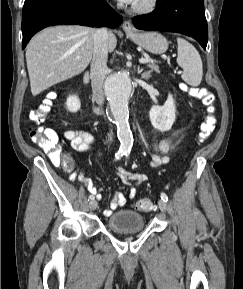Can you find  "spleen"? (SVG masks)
Here are the masks:
<instances>
[{"label": "spleen", "instance_id": "spleen-1", "mask_svg": "<svg viewBox=\"0 0 243 289\" xmlns=\"http://www.w3.org/2000/svg\"><path fill=\"white\" fill-rule=\"evenodd\" d=\"M177 63L183 69L182 79L189 85L196 87L203 76L202 60L195 47L183 38H177Z\"/></svg>", "mask_w": 243, "mask_h": 289}]
</instances>
